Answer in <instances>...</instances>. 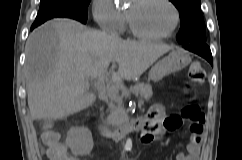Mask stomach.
Instances as JSON below:
<instances>
[{
    "instance_id": "0dacf381",
    "label": "stomach",
    "mask_w": 242,
    "mask_h": 160,
    "mask_svg": "<svg viewBox=\"0 0 242 160\" xmlns=\"http://www.w3.org/2000/svg\"><path fill=\"white\" fill-rule=\"evenodd\" d=\"M191 62L188 53L182 49L172 50L169 55L158 61L149 71V79L157 82L170 73L179 71Z\"/></svg>"
}]
</instances>
